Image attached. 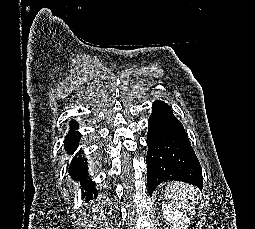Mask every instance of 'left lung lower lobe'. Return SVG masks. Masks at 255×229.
Wrapping results in <instances>:
<instances>
[{
    "label": "left lung lower lobe",
    "instance_id": "0a47b994",
    "mask_svg": "<svg viewBox=\"0 0 255 229\" xmlns=\"http://www.w3.org/2000/svg\"><path fill=\"white\" fill-rule=\"evenodd\" d=\"M147 185L149 195L162 182L179 180L203 187L202 169L182 123L163 101L153 103L148 120Z\"/></svg>",
    "mask_w": 255,
    "mask_h": 229
}]
</instances>
